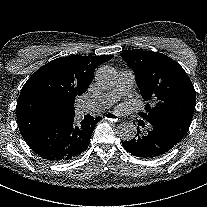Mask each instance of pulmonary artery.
Here are the masks:
<instances>
[{"label": "pulmonary artery", "mask_w": 207, "mask_h": 207, "mask_svg": "<svg viewBox=\"0 0 207 207\" xmlns=\"http://www.w3.org/2000/svg\"><path fill=\"white\" fill-rule=\"evenodd\" d=\"M135 81L134 74L129 71H123L120 73V77L116 88L109 93L103 94L100 97L92 98L84 102L83 111L86 114L100 112L110 107L116 99L127 93L133 86Z\"/></svg>", "instance_id": "pulmonary-artery-1"}]
</instances>
